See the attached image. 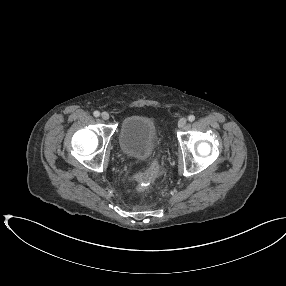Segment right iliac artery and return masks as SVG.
Segmentation results:
<instances>
[{"label": "right iliac artery", "mask_w": 286, "mask_h": 286, "mask_svg": "<svg viewBox=\"0 0 286 286\" xmlns=\"http://www.w3.org/2000/svg\"><path fill=\"white\" fill-rule=\"evenodd\" d=\"M93 115H94L95 117H99V116H100V112H99V111H94Z\"/></svg>", "instance_id": "obj_1"}]
</instances>
